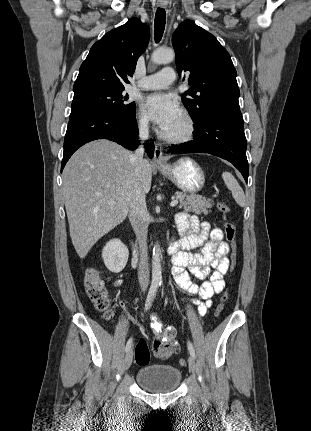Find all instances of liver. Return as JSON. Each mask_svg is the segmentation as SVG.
Here are the masks:
<instances>
[{
  "label": "liver",
  "mask_w": 311,
  "mask_h": 431,
  "mask_svg": "<svg viewBox=\"0 0 311 431\" xmlns=\"http://www.w3.org/2000/svg\"><path fill=\"white\" fill-rule=\"evenodd\" d=\"M136 164L132 154L109 140H95L79 148L63 172L62 194L70 237L79 255L124 221L134 192ZM145 194L152 184V166L143 160ZM114 202V206H109Z\"/></svg>",
  "instance_id": "obj_1"
}]
</instances>
